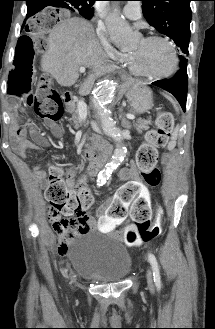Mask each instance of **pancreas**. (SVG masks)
<instances>
[{
	"instance_id": "pancreas-1",
	"label": "pancreas",
	"mask_w": 215,
	"mask_h": 329,
	"mask_svg": "<svg viewBox=\"0 0 215 329\" xmlns=\"http://www.w3.org/2000/svg\"><path fill=\"white\" fill-rule=\"evenodd\" d=\"M69 111L72 113V117H71L72 125L76 129L85 125V122L80 118L78 110L74 103L70 105ZM149 125H151L150 119H138L137 121L133 122V126L135 127L138 133H142V131L148 130Z\"/></svg>"
}]
</instances>
